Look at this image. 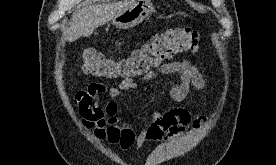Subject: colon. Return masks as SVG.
Segmentation results:
<instances>
[{"instance_id": "colon-1", "label": "colon", "mask_w": 276, "mask_h": 165, "mask_svg": "<svg viewBox=\"0 0 276 165\" xmlns=\"http://www.w3.org/2000/svg\"><path fill=\"white\" fill-rule=\"evenodd\" d=\"M200 35L189 27L171 28L157 33L151 39L123 59H112L87 49L83 52V71L87 74L108 78L127 79L145 77L180 52H196Z\"/></svg>"}]
</instances>
